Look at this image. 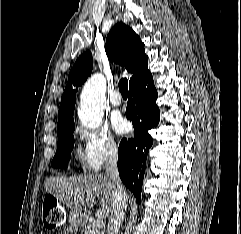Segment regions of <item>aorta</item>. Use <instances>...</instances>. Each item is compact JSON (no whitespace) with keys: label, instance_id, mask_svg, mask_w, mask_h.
<instances>
[{"label":"aorta","instance_id":"aorta-1","mask_svg":"<svg viewBox=\"0 0 241 234\" xmlns=\"http://www.w3.org/2000/svg\"><path fill=\"white\" fill-rule=\"evenodd\" d=\"M105 93L106 80L102 74H94L85 83L81 92L78 117L86 127L94 129L102 123Z\"/></svg>","mask_w":241,"mask_h":234}]
</instances>
